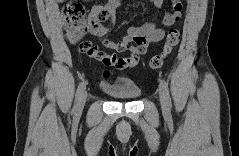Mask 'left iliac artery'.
<instances>
[{
  "instance_id": "1",
  "label": "left iliac artery",
  "mask_w": 239,
  "mask_h": 156,
  "mask_svg": "<svg viewBox=\"0 0 239 156\" xmlns=\"http://www.w3.org/2000/svg\"><path fill=\"white\" fill-rule=\"evenodd\" d=\"M160 87L163 91L165 100H166V105L168 108L171 107V98L169 94V89H168V84L165 82V80L160 79Z\"/></svg>"
}]
</instances>
